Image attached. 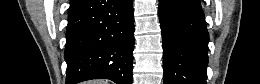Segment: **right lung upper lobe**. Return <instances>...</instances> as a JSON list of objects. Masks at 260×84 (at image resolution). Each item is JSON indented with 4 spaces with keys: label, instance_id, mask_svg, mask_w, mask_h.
<instances>
[{
    "label": "right lung upper lobe",
    "instance_id": "right-lung-upper-lobe-1",
    "mask_svg": "<svg viewBox=\"0 0 260 84\" xmlns=\"http://www.w3.org/2000/svg\"><path fill=\"white\" fill-rule=\"evenodd\" d=\"M79 0H71V5L77 3Z\"/></svg>",
    "mask_w": 260,
    "mask_h": 84
}]
</instances>
